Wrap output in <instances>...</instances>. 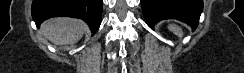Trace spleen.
<instances>
[{
    "mask_svg": "<svg viewBox=\"0 0 244 73\" xmlns=\"http://www.w3.org/2000/svg\"><path fill=\"white\" fill-rule=\"evenodd\" d=\"M169 30L172 31L175 35L182 37L183 36V31L182 29L174 24H171L168 26Z\"/></svg>",
    "mask_w": 244,
    "mask_h": 73,
    "instance_id": "3e777b00",
    "label": "spleen"
}]
</instances>
